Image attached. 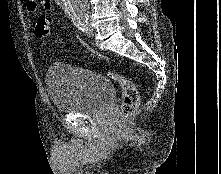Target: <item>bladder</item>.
I'll return each instance as SVG.
<instances>
[{
	"label": "bladder",
	"mask_w": 221,
	"mask_h": 174,
	"mask_svg": "<svg viewBox=\"0 0 221 174\" xmlns=\"http://www.w3.org/2000/svg\"><path fill=\"white\" fill-rule=\"evenodd\" d=\"M47 94L62 113L92 115L106 110L115 100L112 82L91 69L54 63L46 71Z\"/></svg>",
	"instance_id": "1"
}]
</instances>
